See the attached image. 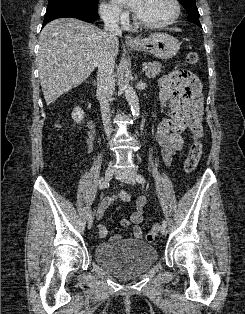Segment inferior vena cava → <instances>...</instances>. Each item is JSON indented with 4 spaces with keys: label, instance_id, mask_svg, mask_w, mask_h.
Segmentation results:
<instances>
[{
    "label": "inferior vena cava",
    "instance_id": "1",
    "mask_svg": "<svg viewBox=\"0 0 245 314\" xmlns=\"http://www.w3.org/2000/svg\"><path fill=\"white\" fill-rule=\"evenodd\" d=\"M104 23V30L111 40L117 39V36H121L122 31L119 27L118 12L111 11L107 13L104 16ZM114 65L115 61L112 57L106 58L100 62L97 72V95L99 96L104 129L108 139H110L112 132L109 101L115 88Z\"/></svg>",
    "mask_w": 245,
    "mask_h": 314
}]
</instances>
